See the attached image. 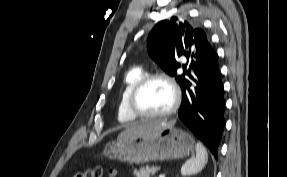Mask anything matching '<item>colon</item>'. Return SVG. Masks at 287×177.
<instances>
[{
  "instance_id": "obj_1",
  "label": "colon",
  "mask_w": 287,
  "mask_h": 177,
  "mask_svg": "<svg viewBox=\"0 0 287 177\" xmlns=\"http://www.w3.org/2000/svg\"><path fill=\"white\" fill-rule=\"evenodd\" d=\"M103 169L99 166L79 170L71 175V177H102ZM109 177H115L114 170H109Z\"/></svg>"
}]
</instances>
